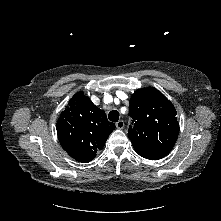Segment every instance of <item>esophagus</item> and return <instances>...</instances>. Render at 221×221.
I'll use <instances>...</instances> for the list:
<instances>
[{
	"label": "esophagus",
	"instance_id": "34e87169",
	"mask_svg": "<svg viewBox=\"0 0 221 221\" xmlns=\"http://www.w3.org/2000/svg\"><path fill=\"white\" fill-rule=\"evenodd\" d=\"M116 127L118 129H123L124 128V121L123 120H119L117 123H116Z\"/></svg>",
	"mask_w": 221,
	"mask_h": 221
}]
</instances>
